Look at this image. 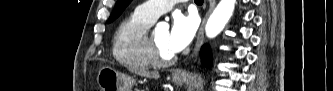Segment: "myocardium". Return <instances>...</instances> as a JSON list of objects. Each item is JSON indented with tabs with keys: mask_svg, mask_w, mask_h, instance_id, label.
Listing matches in <instances>:
<instances>
[{
	"mask_svg": "<svg viewBox=\"0 0 333 91\" xmlns=\"http://www.w3.org/2000/svg\"><path fill=\"white\" fill-rule=\"evenodd\" d=\"M145 43L147 47L148 58L153 66L166 67L176 61V56H163L159 48L156 46L152 35H145Z\"/></svg>",
	"mask_w": 333,
	"mask_h": 91,
	"instance_id": "obj_1",
	"label": "myocardium"
}]
</instances>
